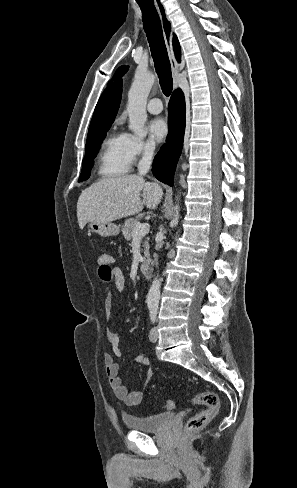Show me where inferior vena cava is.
Segmentation results:
<instances>
[{
  "instance_id": "obj_1",
  "label": "inferior vena cava",
  "mask_w": 297,
  "mask_h": 488,
  "mask_svg": "<svg viewBox=\"0 0 297 488\" xmlns=\"http://www.w3.org/2000/svg\"><path fill=\"white\" fill-rule=\"evenodd\" d=\"M154 148L151 146H145L142 154V159L138 164L139 175H143L150 170Z\"/></svg>"
}]
</instances>
